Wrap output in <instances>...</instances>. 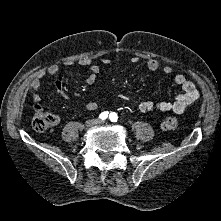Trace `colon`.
<instances>
[{
  "label": "colon",
  "instance_id": "colon-1",
  "mask_svg": "<svg viewBox=\"0 0 221 221\" xmlns=\"http://www.w3.org/2000/svg\"><path fill=\"white\" fill-rule=\"evenodd\" d=\"M57 120L56 115L37 109L33 117L32 125L36 131L42 132L56 124ZM178 126L179 122L175 117H167L162 122V127L168 131L176 130Z\"/></svg>",
  "mask_w": 221,
  "mask_h": 221
}]
</instances>
